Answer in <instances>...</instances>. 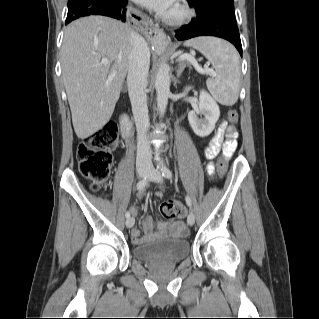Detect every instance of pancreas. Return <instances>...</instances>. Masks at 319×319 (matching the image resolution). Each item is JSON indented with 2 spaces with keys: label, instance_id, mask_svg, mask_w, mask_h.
Listing matches in <instances>:
<instances>
[{
  "label": "pancreas",
  "instance_id": "cf45deb5",
  "mask_svg": "<svg viewBox=\"0 0 319 319\" xmlns=\"http://www.w3.org/2000/svg\"><path fill=\"white\" fill-rule=\"evenodd\" d=\"M191 64H192V63L189 62V61L184 63L185 66H186V65H187V66H190Z\"/></svg>",
  "mask_w": 319,
  "mask_h": 319
}]
</instances>
